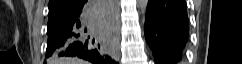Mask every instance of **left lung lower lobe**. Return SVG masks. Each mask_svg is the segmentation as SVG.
<instances>
[{"label":"left lung lower lobe","instance_id":"left-lung-lower-lobe-1","mask_svg":"<svg viewBox=\"0 0 242 64\" xmlns=\"http://www.w3.org/2000/svg\"><path fill=\"white\" fill-rule=\"evenodd\" d=\"M144 32L157 64L179 63L189 37L185 0H149Z\"/></svg>","mask_w":242,"mask_h":64}]
</instances>
